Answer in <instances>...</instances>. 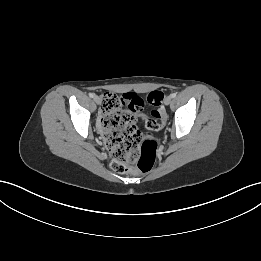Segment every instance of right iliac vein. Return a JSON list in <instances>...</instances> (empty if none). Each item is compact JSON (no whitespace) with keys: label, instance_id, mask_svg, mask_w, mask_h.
Listing matches in <instances>:
<instances>
[{"label":"right iliac vein","instance_id":"obj_1","mask_svg":"<svg viewBox=\"0 0 261 261\" xmlns=\"http://www.w3.org/2000/svg\"><path fill=\"white\" fill-rule=\"evenodd\" d=\"M94 101H95V103H97V104H100V103H101V99H100L99 96H94Z\"/></svg>","mask_w":261,"mask_h":261}]
</instances>
